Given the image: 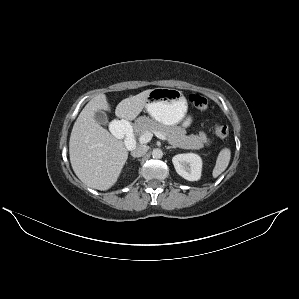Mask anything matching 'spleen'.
<instances>
[{
  "label": "spleen",
  "instance_id": "obj_1",
  "mask_svg": "<svg viewBox=\"0 0 299 299\" xmlns=\"http://www.w3.org/2000/svg\"><path fill=\"white\" fill-rule=\"evenodd\" d=\"M231 158V151L228 148L222 149L217 157L215 167L213 169V177L217 178L222 172L226 170Z\"/></svg>",
  "mask_w": 299,
  "mask_h": 299
}]
</instances>
